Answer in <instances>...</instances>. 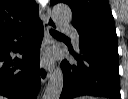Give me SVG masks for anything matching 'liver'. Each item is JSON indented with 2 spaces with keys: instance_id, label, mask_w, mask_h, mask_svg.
Returning <instances> with one entry per match:
<instances>
[{
  "instance_id": "obj_1",
  "label": "liver",
  "mask_w": 128,
  "mask_h": 99,
  "mask_svg": "<svg viewBox=\"0 0 128 99\" xmlns=\"http://www.w3.org/2000/svg\"><path fill=\"white\" fill-rule=\"evenodd\" d=\"M0 99H5V98H3L2 96H0Z\"/></svg>"
}]
</instances>
